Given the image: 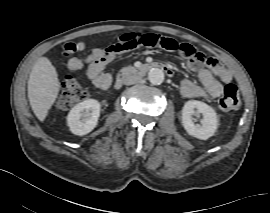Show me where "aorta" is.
Wrapping results in <instances>:
<instances>
[{
    "instance_id": "1",
    "label": "aorta",
    "mask_w": 270,
    "mask_h": 213,
    "mask_svg": "<svg viewBox=\"0 0 270 213\" xmlns=\"http://www.w3.org/2000/svg\"><path fill=\"white\" fill-rule=\"evenodd\" d=\"M148 79L153 85H160L164 81V72L159 68H153L148 73Z\"/></svg>"
}]
</instances>
